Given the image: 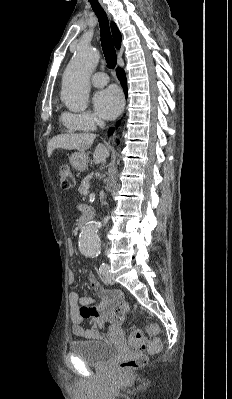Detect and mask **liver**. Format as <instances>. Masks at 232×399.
Instances as JSON below:
<instances>
[{
    "label": "liver",
    "mask_w": 232,
    "mask_h": 399,
    "mask_svg": "<svg viewBox=\"0 0 232 399\" xmlns=\"http://www.w3.org/2000/svg\"><path fill=\"white\" fill-rule=\"evenodd\" d=\"M96 136L95 134H60V136H55L47 144V154L50 158L52 152L57 150V148H62V150H78V152H84L92 146ZM109 156L108 148H105L103 144H98L95 148L93 154L94 164H103L106 162V158Z\"/></svg>",
    "instance_id": "liver-1"
}]
</instances>
